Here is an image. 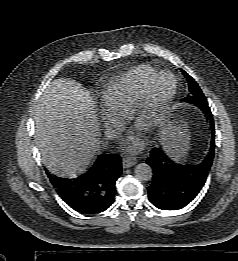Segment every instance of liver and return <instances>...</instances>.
<instances>
[{
	"label": "liver",
	"instance_id": "liver-1",
	"mask_svg": "<svg viewBox=\"0 0 238 261\" xmlns=\"http://www.w3.org/2000/svg\"><path fill=\"white\" fill-rule=\"evenodd\" d=\"M35 140L53 173H74L91 162L100 146V125L90 93L69 78L50 82L35 109Z\"/></svg>",
	"mask_w": 238,
	"mask_h": 261
}]
</instances>
